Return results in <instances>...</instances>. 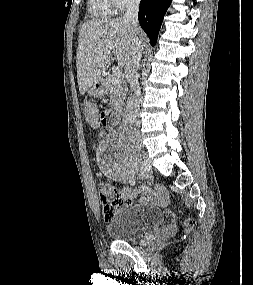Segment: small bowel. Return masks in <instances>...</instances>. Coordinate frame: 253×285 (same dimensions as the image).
<instances>
[{
  "label": "small bowel",
  "instance_id": "small-bowel-1",
  "mask_svg": "<svg viewBox=\"0 0 253 285\" xmlns=\"http://www.w3.org/2000/svg\"><path fill=\"white\" fill-rule=\"evenodd\" d=\"M110 109H100L98 121L100 126H109ZM121 191L129 196L131 199L137 198L139 195L142 197L140 201L144 204H153L158 206H166L169 202L167 190L162 185H157L156 191H152L147 187L142 188H129L124 187Z\"/></svg>",
  "mask_w": 253,
  "mask_h": 285
}]
</instances>
